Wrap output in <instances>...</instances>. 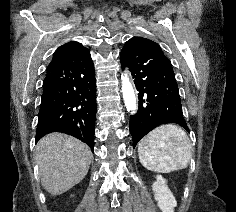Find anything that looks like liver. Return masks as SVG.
Returning <instances> with one entry per match:
<instances>
[{"label":"liver","instance_id":"1","mask_svg":"<svg viewBox=\"0 0 236 212\" xmlns=\"http://www.w3.org/2000/svg\"><path fill=\"white\" fill-rule=\"evenodd\" d=\"M93 155L80 140L62 133H51L36 146L42 186L51 195H60L86 176Z\"/></svg>","mask_w":236,"mask_h":212}]
</instances>
